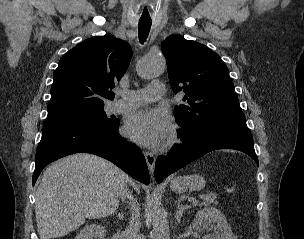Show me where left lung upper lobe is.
Segmentation results:
<instances>
[{
  "label": "left lung upper lobe",
  "mask_w": 304,
  "mask_h": 239,
  "mask_svg": "<svg viewBox=\"0 0 304 239\" xmlns=\"http://www.w3.org/2000/svg\"><path fill=\"white\" fill-rule=\"evenodd\" d=\"M170 84L184 91L175 107L181 133L196 138L221 128L247 129L233 82L220 56L207 46L172 35L162 42Z\"/></svg>",
  "instance_id": "left-lung-upper-lobe-1"
}]
</instances>
